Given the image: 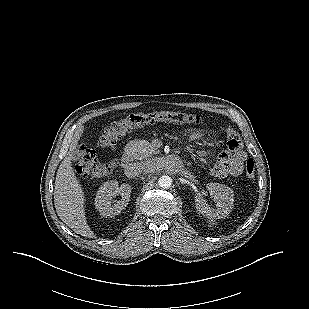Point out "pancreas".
Instances as JSON below:
<instances>
[{"mask_svg": "<svg viewBox=\"0 0 309 309\" xmlns=\"http://www.w3.org/2000/svg\"><path fill=\"white\" fill-rule=\"evenodd\" d=\"M137 149L135 151V159L137 160H146L154 151L153 146L146 141H137L135 142Z\"/></svg>", "mask_w": 309, "mask_h": 309, "instance_id": "cf45deb5", "label": "pancreas"}]
</instances>
